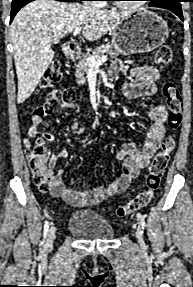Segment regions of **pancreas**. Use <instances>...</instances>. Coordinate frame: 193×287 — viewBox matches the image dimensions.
I'll use <instances>...</instances> for the list:
<instances>
[{"label":"pancreas","instance_id":"pancreas-1","mask_svg":"<svg viewBox=\"0 0 193 287\" xmlns=\"http://www.w3.org/2000/svg\"><path fill=\"white\" fill-rule=\"evenodd\" d=\"M104 53H106L110 58L117 59V57L120 54V49L114 45L106 44V45H101L97 47L91 55H82L78 56L79 63L77 65L76 71H75V77L77 79V82L80 84H84L87 78V75L89 73L90 67L87 63V57L91 56L94 59H99L101 58Z\"/></svg>","mask_w":193,"mask_h":287}]
</instances>
